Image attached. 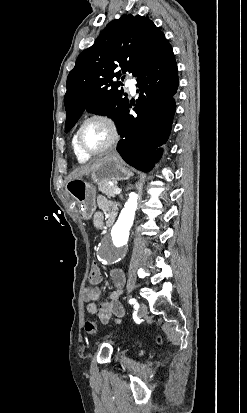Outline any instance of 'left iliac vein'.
Masks as SVG:
<instances>
[{"label":"left iliac vein","instance_id":"4c4485c4","mask_svg":"<svg viewBox=\"0 0 247 413\" xmlns=\"http://www.w3.org/2000/svg\"><path fill=\"white\" fill-rule=\"evenodd\" d=\"M139 317H142V316H144L145 314H146V312H147V306H146V304L144 303V302H141L140 304H139ZM110 337V335H106L105 337H104V339H108Z\"/></svg>","mask_w":247,"mask_h":413}]
</instances>
